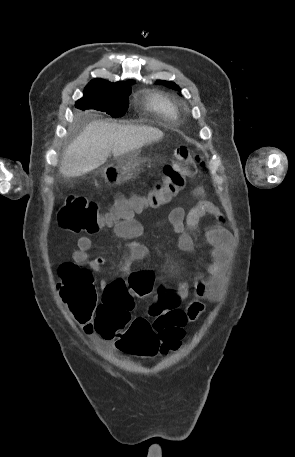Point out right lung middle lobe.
<instances>
[{
  "label": "right lung middle lobe",
  "mask_w": 295,
  "mask_h": 457,
  "mask_svg": "<svg viewBox=\"0 0 295 457\" xmlns=\"http://www.w3.org/2000/svg\"><path fill=\"white\" fill-rule=\"evenodd\" d=\"M130 93L131 87L115 91L85 90L84 97L78 100L75 106L80 109L103 111L117 118L126 113Z\"/></svg>",
  "instance_id": "dd1d6c3e"
}]
</instances>
